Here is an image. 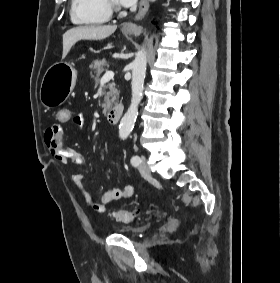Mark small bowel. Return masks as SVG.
Wrapping results in <instances>:
<instances>
[{
	"label": "small bowel",
	"instance_id": "c3829d8e",
	"mask_svg": "<svg viewBox=\"0 0 280 283\" xmlns=\"http://www.w3.org/2000/svg\"><path fill=\"white\" fill-rule=\"evenodd\" d=\"M72 120L79 127L82 128L85 125V118L82 114L77 113L73 115L71 110ZM45 145L50 154L62 165H82L84 158L81 153L73 148L63 147V129L58 123L50 125L44 134ZM84 175L75 174L72 176V182L76 189L82 195L86 206L98 213H102L106 209V205L116 202L120 199L130 198L133 195L134 189L132 186L127 185L123 188L112 189L104 192L101 196L100 202H96L92 199L90 193L85 188Z\"/></svg>",
	"mask_w": 280,
	"mask_h": 283
}]
</instances>
